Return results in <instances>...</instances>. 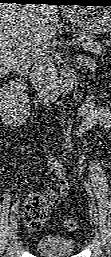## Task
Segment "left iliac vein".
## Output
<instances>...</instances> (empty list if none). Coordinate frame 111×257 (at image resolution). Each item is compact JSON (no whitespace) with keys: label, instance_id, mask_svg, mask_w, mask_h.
I'll list each match as a JSON object with an SVG mask.
<instances>
[{"label":"left iliac vein","instance_id":"left-iliac-vein-1","mask_svg":"<svg viewBox=\"0 0 111 257\" xmlns=\"http://www.w3.org/2000/svg\"><path fill=\"white\" fill-rule=\"evenodd\" d=\"M89 207H90V215H91L92 220L97 221L96 206L92 201L90 202Z\"/></svg>","mask_w":111,"mask_h":257}]
</instances>
